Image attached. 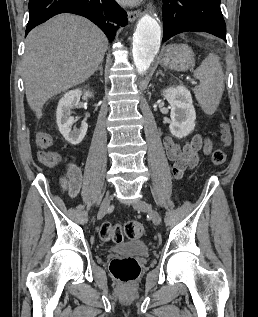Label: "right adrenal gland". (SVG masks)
Returning a JSON list of instances; mask_svg holds the SVG:
<instances>
[{
    "instance_id": "2a0ac1e0",
    "label": "right adrenal gland",
    "mask_w": 258,
    "mask_h": 317,
    "mask_svg": "<svg viewBox=\"0 0 258 317\" xmlns=\"http://www.w3.org/2000/svg\"><path fill=\"white\" fill-rule=\"evenodd\" d=\"M96 70H99V74H103V60L100 62L99 66H97Z\"/></svg>"
}]
</instances>
